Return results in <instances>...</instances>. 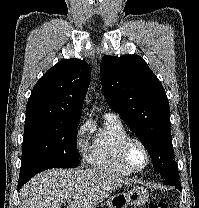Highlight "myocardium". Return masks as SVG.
<instances>
[{
	"mask_svg": "<svg viewBox=\"0 0 199 208\" xmlns=\"http://www.w3.org/2000/svg\"><path fill=\"white\" fill-rule=\"evenodd\" d=\"M133 143L139 144L142 147V149L144 150L145 155H146L145 164L140 168L133 166L129 160L128 150H129V147L131 146V144H133ZM119 157H120L122 164L132 173L142 172L143 170H145L149 166V164L151 162V154H150V151H149L147 145L145 144V142L143 140H141L138 137H134V136H128L126 139L123 140V142L120 145V149H119Z\"/></svg>",
	"mask_w": 199,
	"mask_h": 208,
	"instance_id": "obj_1",
	"label": "myocardium"
}]
</instances>
